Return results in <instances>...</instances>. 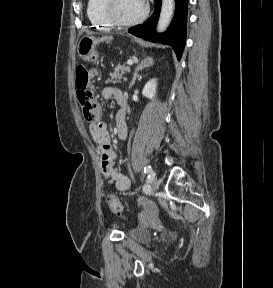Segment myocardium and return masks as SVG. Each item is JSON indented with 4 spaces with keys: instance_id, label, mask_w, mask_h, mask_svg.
I'll return each mask as SVG.
<instances>
[{
    "instance_id": "1",
    "label": "myocardium",
    "mask_w": 273,
    "mask_h": 288,
    "mask_svg": "<svg viewBox=\"0 0 273 288\" xmlns=\"http://www.w3.org/2000/svg\"><path fill=\"white\" fill-rule=\"evenodd\" d=\"M114 3H115V0H103V3H102V13H103L104 18L110 24L114 26L129 27V26L137 25L141 23L142 21H144L149 13V6L147 5V3H144L145 4L144 10L140 16L131 20H122V19H119L114 13V10H113Z\"/></svg>"
}]
</instances>
